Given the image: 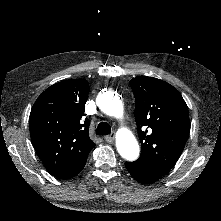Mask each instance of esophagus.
I'll return each mask as SVG.
<instances>
[{
  "mask_svg": "<svg viewBox=\"0 0 221 221\" xmlns=\"http://www.w3.org/2000/svg\"><path fill=\"white\" fill-rule=\"evenodd\" d=\"M115 132H113L111 135L105 136V140L107 143H113L115 139Z\"/></svg>",
  "mask_w": 221,
  "mask_h": 221,
  "instance_id": "esophagus-1",
  "label": "esophagus"
}]
</instances>
